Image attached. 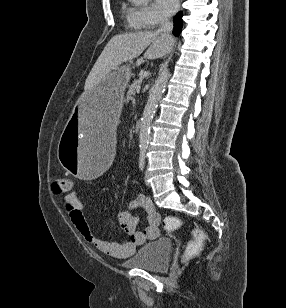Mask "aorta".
I'll use <instances>...</instances> for the list:
<instances>
[{
  "instance_id": "762f6f07",
  "label": "aorta",
  "mask_w": 286,
  "mask_h": 308,
  "mask_svg": "<svg viewBox=\"0 0 286 308\" xmlns=\"http://www.w3.org/2000/svg\"><path fill=\"white\" fill-rule=\"evenodd\" d=\"M135 4H142L146 0H132ZM170 76L169 69L162 68L155 81L154 86L149 92L148 102L144 108L143 115L141 118L139 143L141 147H146L150 139V126L153 120V116L156 112L158 102L160 101L162 94L167 85Z\"/></svg>"
}]
</instances>
